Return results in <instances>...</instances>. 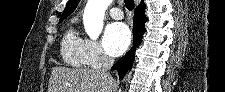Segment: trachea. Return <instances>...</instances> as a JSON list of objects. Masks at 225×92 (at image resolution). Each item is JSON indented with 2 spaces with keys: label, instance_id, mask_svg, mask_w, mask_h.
Masks as SVG:
<instances>
[{
  "label": "trachea",
  "instance_id": "1",
  "mask_svg": "<svg viewBox=\"0 0 225 92\" xmlns=\"http://www.w3.org/2000/svg\"><path fill=\"white\" fill-rule=\"evenodd\" d=\"M124 2L128 10H132L134 8V0H125Z\"/></svg>",
  "mask_w": 225,
  "mask_h": 92
}]
</instances>
